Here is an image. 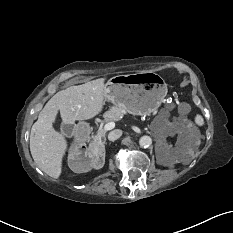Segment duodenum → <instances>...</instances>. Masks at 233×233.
I'll return each instance as SVG.
<instances>
[{
  "instance_id": "1",
  "label": "duodenum",
  "mask_w": 233,
  "mask_h": 233,
  "mask_svg": "<svg viewBox=\"0 0 233 233\" xmlns=\"http://www.w3.org/2000/svg\"><path fill=\"white\" fill-rule=\"evenodd\" d=\"M78 140H84L90 137V132L85 126H79L76 132Z\"/></svg>"
}]
</instances>
